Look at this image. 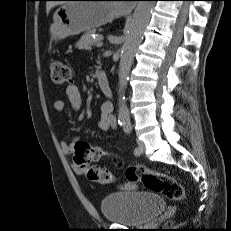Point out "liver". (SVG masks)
<instances>
[{
  "label": "liver",
  "instance_id": "6515ba94",
  "mask_svg": "<svg viewBox=\"0 0 231 231\" xmlns=\"http://www.w3.org/2000/svg\"><path fill=\"white\" fill-rule=\"evenodd\" d=\"M59 2H48L46 4V10H47V13H49V11L51 10V8H53L54 6L58 5Z\"/></svg>",
  "mask_w": 231,
  "mask_h": 231
}]
</instances>
